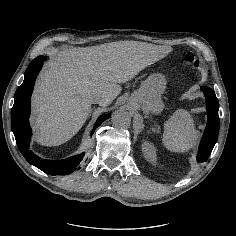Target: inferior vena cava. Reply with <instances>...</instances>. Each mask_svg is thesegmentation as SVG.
<instances>
[{
	"label": "inferior vena cava",
	"instance_id": "obj_1",
	"mask_svg": "<svg viewBox=\"0 0 236 236\" xmlns=\"http://www.w3.org/2000/svg\"><path fill=\"white\" fill-rule=\"evenodd\" d=\"M109 101L110 98L105 96H96L94 99V102L99 103L100 105H106Z\"/></svg>",
	"mask_w": 236,
	"mask_h": 236
}]
</instances>
